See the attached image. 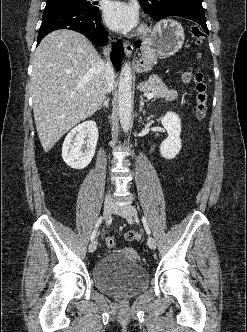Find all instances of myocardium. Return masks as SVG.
Segmentation results:
<instances>
[{
	"label": "myocardium",
	"mask_w": 247,
	"mask_h": 332,
	"mask_svg": "<svg viewBox=\"0 0 247 332\" xmlns=\"http://www.w3.org/2000/svg\"><path fill=\"white\" fill-rule=\"evenodd\" d=\"M141 31H145V27H142V28H141Z\"/></svg>",
	"instance_id": "f54148a6"
}]
</instances>
